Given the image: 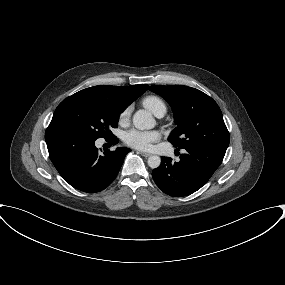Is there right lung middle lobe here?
Returning <instances> with one entry per match:
<instances>
[{
    "mask_svg": "<svg viewBox=\"0 0 285 285\" xmlns=\"http://www.w3.org/2000/svg\"><path fill=\"white\" fill-rule=\"evenodd\" d=\"M124 108L103 99L70 96L56 108L52 121L69 124L88 136L98 139L107 137L110 128L118 126Z\"/></svg>",
    "mask_w": 285,
    "mask_h": 285,
    "instance_id": "obj_1",
    "label": "right lung middle lobe"
}]
</instances>
